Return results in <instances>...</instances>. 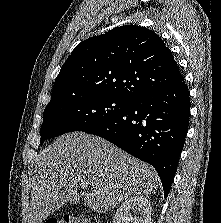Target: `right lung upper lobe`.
<instances>
[{"mask_svg": "<svg viewBox=\"0 0 221 223\" xmlns=\"http://www.w3.org/2000/svg\"><path fill=\"white\" fill-rule=\"evenodd\" d=\"M182 79L161 37L144 27L126 25L75 47L55 80L50 103L79 95L133 100Z\"/></svg>", "mask_w": 221, "mask_h": 223, "instance_id": "right-lung-upper-lobe-1", "label": "right lung upper lobe"}]
</instances>
